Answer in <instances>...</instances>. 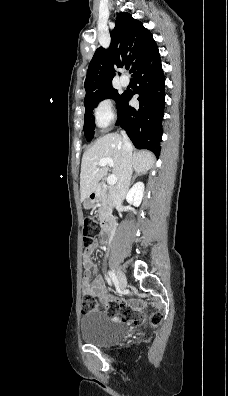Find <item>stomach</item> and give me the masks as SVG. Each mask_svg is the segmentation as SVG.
<instances>
[{"mask_svg":"<svg viewBox=\"0 0 228 396\" xmlns=\"http://www.w3.org/2000/svg\"><path fill=\"white\" fill-rule=\"evenodd\" d=\"M97 200L96 193L93 192L91 193L84 201H83V206L85 209H90L94 206L95 202Z\"/></svg>","mask_w":228,"mask_h":396,"instance_id":"1","label":"stomach"}]
</instances>
